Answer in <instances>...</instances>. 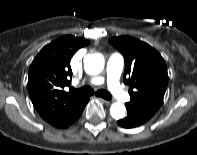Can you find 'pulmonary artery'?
<instances>
[{"label": "pulmonary artery", "instance_id": "e3ab8cb5", "mask_svg": "<svg viewBox=\"0 0 197 155\" xmlns=\"http://www.w3.org/2000/svg\"><path fill=\"white\" fill-rule=\"evenodd\" d=\"M123 66H124V59L122 55H120L119 53H114L111 55V57L107 62L106 79L102 77H94L91 78L89 81H87V83L93 85H99L102 84L104 81H106L107 86L109 90L112 92V94L119 100L125 101L128 99V95L124 92V90L121 88L119 83V78L123 70Z\"/></svg>", "mask_w": 197, "mask_h": 155}]
</instances>
